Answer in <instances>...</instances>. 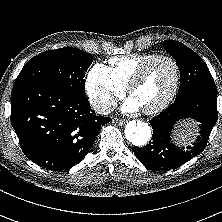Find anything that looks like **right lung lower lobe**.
I'll return each mask as SVG.
<instances>
[{
	"label": "right lung lower lobe",
	"mask_w": 222,
	"mask_h": 222,
	"mask_svg": "<svg viewBox=\"0 0 222 222\" xmlns=\"http://www.w3.org/2000/svg\"><path fill=\"white\" fill-rule=\"evenodd\" d=\"M110 120L94 113L85 94L43 83L13 86L11 124L24 154L43 168L79 163Z\"/></svg>",
	"instance_id": "obj_1"
}]
</instances>
